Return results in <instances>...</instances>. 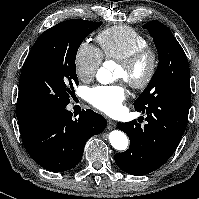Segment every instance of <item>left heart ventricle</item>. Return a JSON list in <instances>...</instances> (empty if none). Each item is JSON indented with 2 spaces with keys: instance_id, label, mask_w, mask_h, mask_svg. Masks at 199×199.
Returning <instances> with one entry per match:
<instances>
[{
  "instance_id": "1",
  "label": "left heart ventricle",
  "mask_w": 199,
  "mask_h": 199,
  "mask_svg": "<svg viewBox=\"0 0 199 199\" xmlns=\"http://www.w3.org/2000/svg\"><path fill=\"white\" fill-rule=\"evenodd\" d=\"M145 70H146V63H141L138 67H136V69L132 73L128 72L123 67L118 65L116 69V77L118 79H125V80L130 76L141 77L145 73Z\"/></svg>"
}]
</instances>
